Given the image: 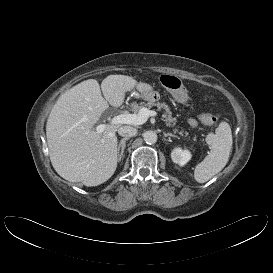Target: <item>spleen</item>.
I'll list each match as a JSON object with an SVG mask.
<instances>
[{
  "label": "spleen",
  "mask_w": 273,
  "mask_h": 273,
  "mask_svg": "<svg viewBox=\"0 0 273 273\" xmlns=\"http://www.w3.org/2000/svg\"><path fill=\"white\" fill-rule=\"evenodd\" d=\"M206 142L210 152L194 170V178L199 183L207 182L226 166L233 143L230 125L221 122L215 133L207 135Z\"/></svg>",
  "instance_id": "1"
}]
</instances>
